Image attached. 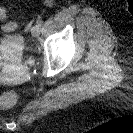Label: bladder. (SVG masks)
<instances>
[{
	"label": "bladder",
	"mask_w": 133,
	"mask_h": 133,
	"mask_svg": "<svg viewBox=\"0 0 133 133\" xmlns=\"http://www.w3.org/2000/svg\"><path fill=\"white\" fill-rule=\"evenodd\" d=\"M2 61L15 62L16 61V55L13 52H8L7 50H2L0 48V63Z\"/></svg>",
	"instance_id": "obj_1"
}]
</instances>
